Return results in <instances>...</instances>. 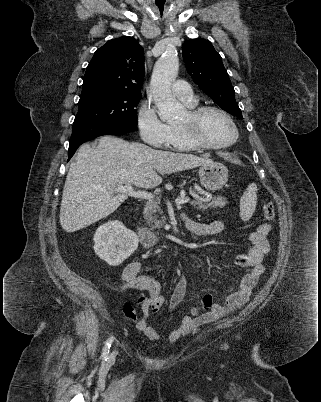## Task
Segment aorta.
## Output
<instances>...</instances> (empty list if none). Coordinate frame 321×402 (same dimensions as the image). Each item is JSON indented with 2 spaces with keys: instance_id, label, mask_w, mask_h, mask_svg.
Segmentation results:
<instances>
[{
  "instance_id": "1",
  "label": "aorta",
  "mask_w": 321,
  "mask_h": 402,
  "mask_svg": "<svg viewBox=\"0 0 321 402\" xmlns=\"http://www.w3.org/2000/svg\"><path fill=\"white\" fill-rule=\"evenodd\" d=\"M178 68V56L174 49L167 50L154 66L150 95L158 108L162 120L176 118L184 110V107L171 94V84L177 76Z\"/></svg>"
}]
</instances>
